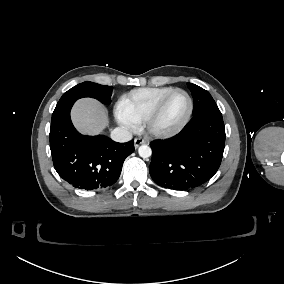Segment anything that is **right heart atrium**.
Masks as SVG:
<instances>
[{"instance_id": "obj_1", "label": "right heart atrium", "mask_w": 284, "mask_h": 284, "mask_svg": "<svg viewBox=\"0 0 284 284\" xmlns=\"http://www.w3.org/2000/svg\"><path fill=\"white\" fill-rule=\"evenodd\" d=\"M120 124L127 130L131 129V124H129L126 120H124L123 118L119 119Z\"/></svg>"}]
</instances>
